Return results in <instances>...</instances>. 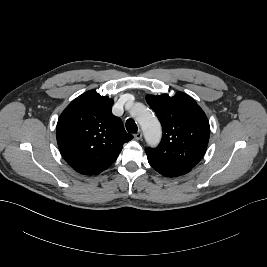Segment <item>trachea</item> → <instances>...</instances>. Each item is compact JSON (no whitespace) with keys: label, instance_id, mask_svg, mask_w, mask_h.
<instances>
[{"label":"trachea","instance_id":"1","mask_svg":"<svg viewBox=\"0 0 267 267\" xmlns=\"http://www.w3.org/2000/svg\"><path fill=\"white\" fill-rule=\"evenodd\" d=\"M126 129L129 133H136L138 131V127L133 119L126 121Z\"/></svg>","mask_w":267,"mask_h":267}]
</instances>
